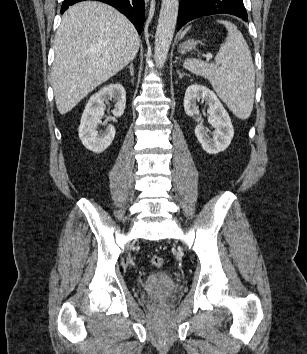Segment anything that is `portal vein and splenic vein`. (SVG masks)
Here are the masks:
<instances>
[{"label": "portal vein and splenic vein", "mask_w": 307, "mask_h": 354, "mask_svg": "<svg viewBox=\"0 0 307 354\" xmlns=\"http://www.w3.org/2000/svg\"><path fill=\"white\" fill-rule=\"evenodd\" d=\"M210 59H212V55L207 56V60H210Z\"/></svg>", "instance_id": "obj_1"}]
</instances>
